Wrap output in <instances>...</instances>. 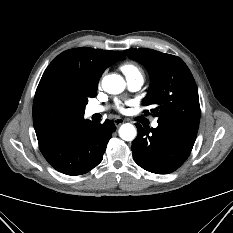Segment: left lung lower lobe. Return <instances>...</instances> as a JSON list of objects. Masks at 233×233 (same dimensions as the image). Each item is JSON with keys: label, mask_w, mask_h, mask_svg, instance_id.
<instances>
[{"label": "left lung lower lobe", "mask_w": 233, "mask_h": 233, "mask_svg": "<svg viewBox=\"0 0 233 233\" xmlns=\"http://www.w3.org/2000/svg\"><path fill=\"white\" fill-rule=\"evenodd\" d=\"M197 124L183 122L158 123L157 128L136 124L138 135L132 143L134 161L155 174H168L178 169L193 148Z\"/></svg>", "instance_id": "left-lung-lower-lobe-1"}]
</instances>
